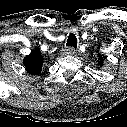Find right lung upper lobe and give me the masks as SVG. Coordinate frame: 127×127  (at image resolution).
I'll list each match as a JSON object with an SVG mask.
<instances>
[{
    "label": "right lung upper lobe",
    "instance_id": "obj_1",
    "mask_svg": "<svg viewBox=\"0 0 127 127\" xmlns=\"http://www.w3.org/2000/svg\"><path fill=\"white\" fill-rule=\"evenodd\" d=\"M23 63L28 73L32 75L39 74L43 65V57L40 50H33L24 58Z\"/></svg>",
    "mask_w": 127,
    "mask_h": 127
}]
</instances>
